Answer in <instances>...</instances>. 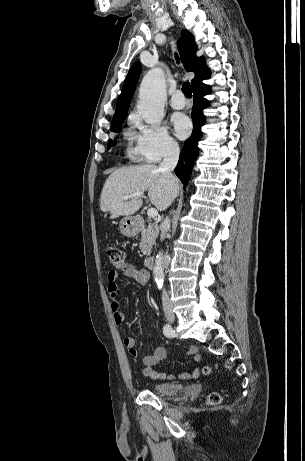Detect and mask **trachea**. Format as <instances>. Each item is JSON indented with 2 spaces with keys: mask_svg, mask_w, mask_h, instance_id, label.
Here are the masks:
<instances>
[{
  "mask_svg": "<svg viewBox=\"0 0 305 461\" xmlns=\"http://www.w3.org/2000/svg\"><path fill=\"white\" fill-rule=\"evenodd\" d=\"M175 58H176L177 63H179V58L177 54H175ZM182 92L187 98H191L192 92H191V87H190L189 82L184 83V85L182 86Z\"/></svg>",
  "mask_w": 305,
  "mask_h": 461,
  "instance_id": "obj_1",
  "label": "trachea"
}]
</instances>
